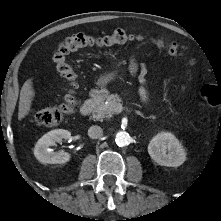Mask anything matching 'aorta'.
Segmentation results:
<instances>
[{"mask_svg":"<svg viewBox=\"0 0 221 221\" xmlns=\"http://www.w3.org/2000/svg\"><path fill=\"white\" fill-rule=\"evenodd\" d=\"M129 134L125 131H120L116 134L115 141L119 146H126L129 144Z\"/></svg>","mask_w":221,"mask_h":221,"instance_id":"762f6f07","label":"aorta"}]
</instances>
